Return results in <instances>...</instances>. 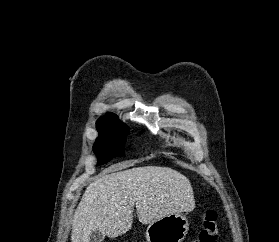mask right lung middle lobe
<instances>
[{"label":"right lung middle lobe","mask_w":279,"mask_h":242,"mask_svg":"<svg viewBox=\"0 0 279 242\" xmlns=\"http://www.w3.org/2000/svg\"><path fill=\"white\" fill-rule=\"evenodd\" d=\"M99 137L94 144V151L99 156L98 164H105L116 156L124 155L126 136L129 134L127 126L114 124L97 125Z\"/></svg>","instance_id":"dd1d6c3e"}]
</instances>
